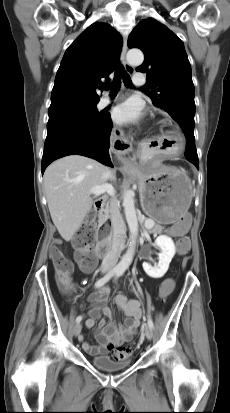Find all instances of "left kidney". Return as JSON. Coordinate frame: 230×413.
<instances>
[{"label": "left kidney", "instance_id": "obj_1", "mask_svg": "<svg viewBox=\"0 0 230 413\" xmlns=\"http://www.w3.org/2000/svg\"><path fill=\"white\" fill-rule=\"evenodd\" d=\"M155 244L161 249L159 262L154 267L148 263H143V269L148 276L152 278H161L167 272L176 249L173 240L166 235L158 236Z\"/></svg>", "mask_w": 230, "mask_h": 413}]
</instances>
